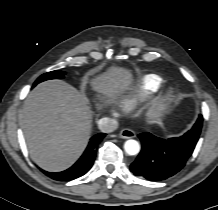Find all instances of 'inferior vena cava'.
I'll list each match as a JSON object with an SVG mask.
<instances>
[{"mask_svg":"<svg viewBox=\"0 0 218 210\" xmlns=\"http://www.w3.org/2000/svg\"><path fill=\"white\" fill-rule=\"evenodd\" d=\"M98 127L104 133H111L118 128V122L115 119L103 117L98 121Z\"/></svg>","mask_w":218,"mask_h":210,"instance_id":"1","label":"inferior vena cava"}]
</instances>
